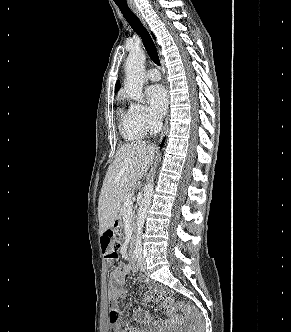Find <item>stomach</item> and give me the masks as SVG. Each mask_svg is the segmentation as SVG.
I'll use <instances>...</instances> for the list:
<instances>
[{
    "mask_svg": "<svg viewBox=\"0 0 291 332\" xmlns=\"http://www.w3.org/2000/svg\"><path fill=\"white\" fill-rule=\"evenodd\" d=\"M120 225H121V222H120V217H119L117 220H115V221L113 222L112 227H113L114 229H119V228H120Z\"/></svg>",
    "mask_w": 291,
    "mask_h": 332,
    "instance_id": "stomach-1",
    "label": "stomach"
}]
</instances>
